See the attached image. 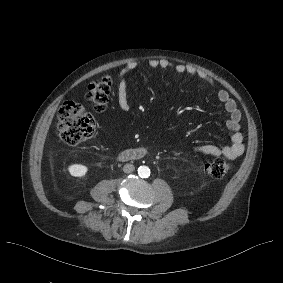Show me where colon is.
I'll return each instance as SVG.
<instances>
[{
  "label": "colon",
  "instance_id": "5ec220e1",
  "mask_svg": "<svg viewBox=\"0 0 283 283\" xmlns=\"http://www.w3.org/2000/svg\"><path fill=\"white\" fill-rule=\"evenodd\" d=\"M111 88L112 79L108 76L89 85L86 99L96 111L101 112L106 108ZM57 128L62 141L75 146L93 137L95 121L82 105L66 101L58 112ZM231 169V164L223 159L210 160L202 166L203 172L213 178H222Z\"/></svg>",
  "mask_w": 283,
  "mask_h": 283
}]
</instances>
